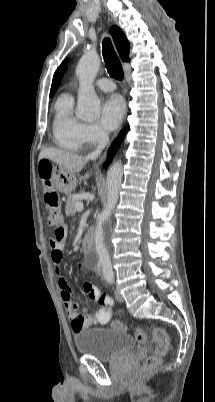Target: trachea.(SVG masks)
Returning <instances> with one entry per match:
<instances>
[{"label":"trachea","mask_w":215,"mask_h":402,"mask_svg":"<svg viewBox=\"0 0 215 402\" xmlns=\"http://www.w3.org/2000/svg\"><path fill=\"white\" fill-rule=\"evenodd\" d=\"M103 58L110 76L117 80H123L122 65L109 38L103 41Z\"/></svg>","instance_id":"obj_1"}]
</instances>
